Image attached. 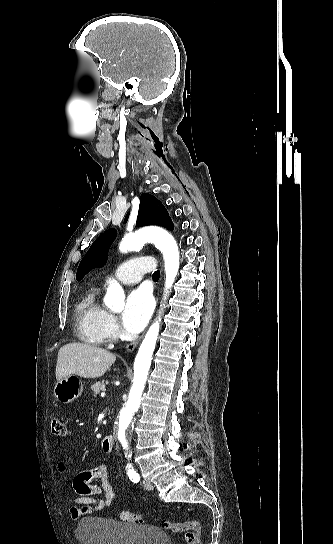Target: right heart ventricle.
Listing matches in <instances>:
<instances>
[{"instance_id": "obj_1", "label": "right heart ventricle", "mask_w": 333, "mask_h": 544, "mask_svg": "<svg viewBox=\"0 0 333 544\" xmlns=\"http://www.w3.org/2000/svg\"><path fill=\"white\" fill-rule=\"evenodd\" d=\"M106 309L98 301V291L91 290L76 308V328L79 337L91 344L100 345L106 341Z\"/></svg>"}]
</instances>
